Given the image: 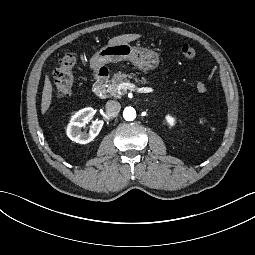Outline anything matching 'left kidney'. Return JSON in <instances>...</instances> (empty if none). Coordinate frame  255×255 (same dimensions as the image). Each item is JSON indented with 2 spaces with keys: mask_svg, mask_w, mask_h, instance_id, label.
<instances>
[{
  "mask_svg": "<svg viewBox=\"0 0 255 255\" xmlns=\"http://www.w3.org/2000/svg\"><path fill=\"white\" fill-rule=\"evenodd\" d=\"M167 121H168V123H169L170 125H173V123H174V119H173L172 117H168V118H167Z\"/></svg>",
  "mask_w": 255,
  "mask_h": 255,
  "instance_id": "obj_1",
  "label": "left kidney"
}]
</instances>
